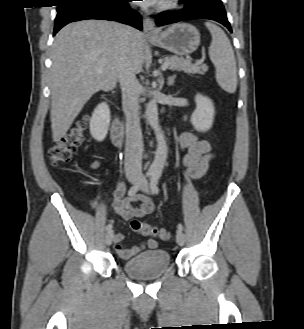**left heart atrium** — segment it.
Returning <instances> with one entry per match:
<instances>
[{
	"mask_svg": "<svg viewBox=\"0 0 304 329\" xmlns=\"http://www.w3.org/2000/svg\"><path fill=\"white\" fill-rule=\"evenodd\" d=\"M142 5L149 7V6H155L161 2V0H142Z\"/></svg>",
	"mask_w": 304,
	"mask_h": 329,
	"instance_id": "obj_1",
	"label": "left heart atrium"
}]
</instances>
